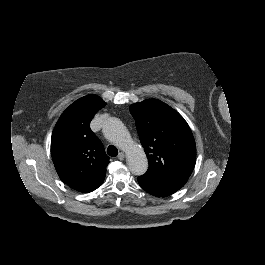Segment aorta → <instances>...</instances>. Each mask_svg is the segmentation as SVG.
I'll return each mask as SVG.
<instances>
[{
	"instance_id": "762f6f07",
	"label": "aorta",
	"mask_w": 265,
	"mask_h": 265,
	"mask_svg": "<svg viewBox=\"0 0 265 265\" xmlns=\"http://www.w3.org/2000/svg\"><path fill=\"white\" fill-rule=\"evenodd\" d=\"M102 132L105 138L124 147L127 165L133 175L142 176L147 172L148 161L143 149L132 144L130 135L120 119L109 117L102 127Z\"/></svg>"
}]
</instances>
